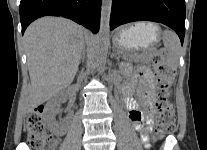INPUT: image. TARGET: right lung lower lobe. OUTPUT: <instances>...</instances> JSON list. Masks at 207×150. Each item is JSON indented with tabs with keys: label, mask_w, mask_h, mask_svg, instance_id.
<instances>
[{
	"label": "right lung lower lobe",
	"mask_w": 207,
	"mask_h": 150,
	"mask_svg": "<svg viewBox=\"0 0 207 150\" xmlns=\"http://www.w3.org/2000/svg\"><path fill=\"white\" fill-rule=\"evenodd\" d=\"M101 0H21L22 34L27 26L42 16H62L90 29L99 31Z\"/></svg>",
	"instance_id": "obj_1"
}]
</instances>
